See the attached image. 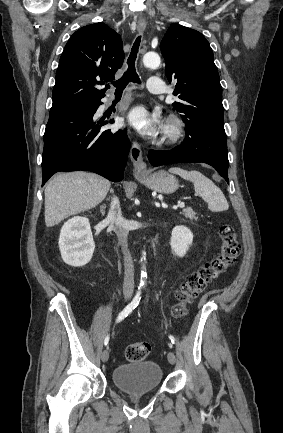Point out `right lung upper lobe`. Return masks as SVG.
I'll list each match as a JSON object with an SVG mask.
<instances>
[{
    "label": "right lung upper lobe",
    "mask_w": 283,
    "mask_h": 433,
    "mask_svg": "<svg viewBox=\"0 0 283 433\" xmlns=\"http://www.w3.org/2000/svg\"><path fill=\"white\" fill-rule=\"evenodd\" d=\"M123 61L122 40L113 29L102 22L80 28L67 42L59 60L50 112L73 109L103 98L110 86L104 89L95 86L114 80Z\"/></svg>",
    "instance_id": "obj_1"
}]
</instances>
